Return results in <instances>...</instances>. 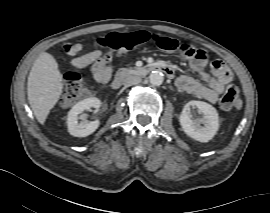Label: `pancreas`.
<instances>
[{"label":"pancreas","instance_id":"1","mask_svg":"<svg viewBox=\"0 0 270 213\" xmlns=\"http://www.w3.org/2000/svg\"><path fill=\"white\" fill-rule=\"evenodd\" d=\"M136 69H133L132 67L129 68H122L119 70V74L123 75V74H131V73H135Z\"/></svg>","mask_w":270,"mask_h":213}]
</instances>
